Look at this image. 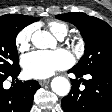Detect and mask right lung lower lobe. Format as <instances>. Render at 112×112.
<instances>
[{
    "label": "right lung lower lobe",
    "instance_id": "obj_1",
    "mask_svg": "<svg viewBox=\"0 0 112 112\" xmlns=\"http://www.w3.org/2000/svg\"><path fill=\"white\" fill-rule=\"evenodd\" d=\"M20 67L17 66L10 73L0 77V112H29L33 103L34 94L40 88L35 80L18 82L6 90L3 88V81L7 77L17 79Z\"/></svg>",
    "mask_w": 112,
    "mask_h": 112
}]
</instances>
